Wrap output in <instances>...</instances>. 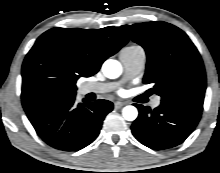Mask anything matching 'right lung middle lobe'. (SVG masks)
<instances>
[{
    "instance_id": "right-lung-middle-lobe-1",
    "label": "right lung middle lobe",
    "mask_w": 220,
    "mask_h": 173,
    "mask_svg": "<svg viewBox=\"0 0 220 173\" xmlns=\"http://www.w3.org/2000/svg\"><path fill=\"white\" fill-rule=\"evenodd\" d=\"M75 91H76V85L72 87L71 93L75 94L76 93Z\"/></svg>"
}]
</instances>
